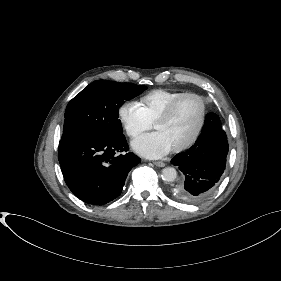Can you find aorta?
Wrapping results in <instances>:
<instances>
[{
    "label": "aorta",
    "instance_id": "1",
    "mask_svg": "<svg viewBox=\"0 0 281 281\" xmlns=\"http://www.w3.org/2000/svg\"><path fill=\"white\" fill-rule=\"evenodd\" d=\"M162 179L166 182H173L177 178V171L173 167H166L162 170Z\"/></svg>",
    "mask_w": 281,
    "mask_h": 281
}]
</instances>
